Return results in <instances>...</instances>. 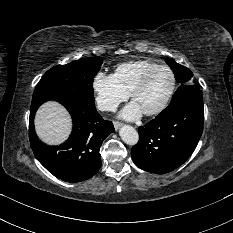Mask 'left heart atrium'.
I'll return each instance as SVG.
<instances>
[{
  "instance_id": "obj_1",
  "label": "left heart atrium",
  "mask_w": 233,
  "mask_h": 233,
  "mask_svg": "<svg viewBox=\"0 0 233 233\" xmlns=\"http://www.w3.org/2000/svg\"><path fill=\"white\" fill-rule=\"evenodd\" d=\"M141 109L137 106L135 102H131L126 107H124L120 112V117L126 120H135L142 115Z\"/></svg>"
}]
</instances>
